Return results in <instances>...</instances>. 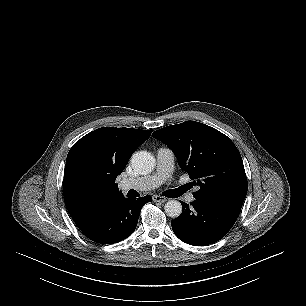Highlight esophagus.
Masks as SVG:
<instances>
[{"instance_id": "obj_1", "label": "esophagus", "mask_w": 306, "mask_h": 306, "mask_svg": "<svg viewBox=\"0 0 306 306\" xmlns=\"http://www.w3.org/2000/svg\"><path fill=\"white\" fill-rule=\"evenodd\" d=\"M152 200H153L154 202H159V203H164V202L167 201V199H166L165 197L159 196V195H154V196L152 197Z\"/></svg>"}]
</instances>
